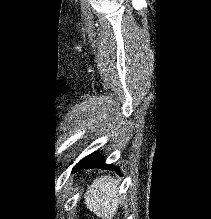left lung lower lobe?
I'll return each mask as SVG.
<instances>
[{"instance_id":"obj_1","label":"left lung lower lobe","mask_w":211,"mask_h":219,"mask_svg":"<svg viewBox=\"0 0 211 219\" xmlns=\"http://www.w3.org/2000/svg\"><path fill=\"white\" fill-rule=\"evenodd\" d=\"M93 167H104V168H108L111 170H118V168H116L113 165H109V164H105V158H103L101 155L99 154H90L89 156L83 158L73 169L72 172L78 171L82 168H93Z\"/></svg>"}]
</instances>
